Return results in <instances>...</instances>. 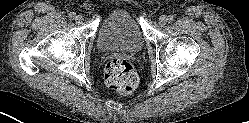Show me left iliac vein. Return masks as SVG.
Returning <instances> with one entry per match:
<instances>
[{
  "label": "left iliac vein",
  "mask_w": 249,
  "mask_h": 123,
  "mask_svg": "<svg viewBox=\"0 0 249 123\" xmlns=\"http://www.w3.org/2000/svg\"><path fill=\"white\" fill-rule=\"evenodd\" d=\"M167 23V18L165 16H161L159 18V25L164 26Z\"/></svg>",
  "instance_id": "left-iliac-vein-1"
}]
</instances>
